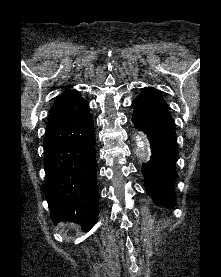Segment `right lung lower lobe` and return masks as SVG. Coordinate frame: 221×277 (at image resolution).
<instances>
[{"instance_id": "obj_1", "label": "right lung lower lobe", "mask_w": 221, "mask_h": 277, "mask_svg": "<svg viewBox=\"0 0 221 277\" xmlns=\"http://www.w3.org/2000/svg\"><path fill=\"white\" fill-rule=\"evenodd\" d=\"M94 124L76 90L52 106L44 140L45 196L54 223L72 221L90 230L98 215Z\"/></svg>"}]
</instances>
